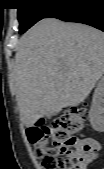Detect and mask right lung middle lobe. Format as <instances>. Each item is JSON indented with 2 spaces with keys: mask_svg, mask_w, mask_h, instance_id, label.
<instances>
[{
  "mask_svg": "<svg viewBox=\"0 0 104 169\" xmlns=\"http://www.w3.org/2000/svg\"><path fill=\"white\" fill-rule=\"evenodd\" d=\"M19 33L26 32L39 20L46 18L64 0H17Z\"/></svg>",
  "mask_w": 104,
  "mask_h": 169,
  "instance_id": "obj_1",
  "label": "right lung middle lobe"
}]
</instances>
